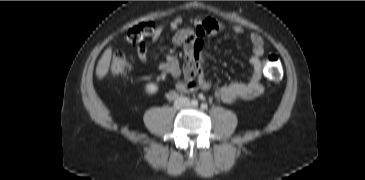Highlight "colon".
Wrapping results in <instances>:
<instances>
[{
  "label": "colon",
  "mask_w": 365,
  "mask_h": 180,
  "mask_svg": "<svg viewBox=\"0 0 365 180\" xmlns=\"http://www.w3.org/2000/svg\"><path fill=\"white\" fill-rule=\"evenodd\" d=\"M156 31L154 23L146 22L134 26L127 33V42L131 45L142 43L146 38L152 36ZM134 67V58L125 51H118L113 54L110 70L114 78L128 75ZM264 69L268 79L272 81L280 80L282 76L281 60L278 55L271 53L264 60Z\"/></svg>",
  "instance_id": "colon-1"
}]
</instances>
